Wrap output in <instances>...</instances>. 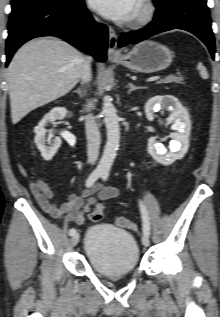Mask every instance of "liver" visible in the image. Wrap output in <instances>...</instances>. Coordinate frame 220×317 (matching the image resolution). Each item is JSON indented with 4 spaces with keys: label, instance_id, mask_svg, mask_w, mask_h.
<instances>
[{
    "label": "liver",
    "instance_id": "obj_1",
    "mask_svg": "<svg viewBox=\"0 0 220 317\" xmlns=\"http://www.w3.org/2000/svg\"><path fill=\"white\" fill-rule=\"evenodd\" d=\"M84 61L77 49L57 38L23 45L7 71L12 123L69 93L80 79Z\"/></svg>",
    "mask_w": 220,
    "mask_h": 317
}]
</instances>
